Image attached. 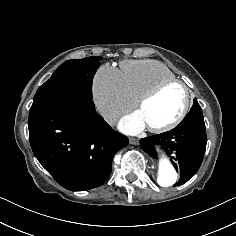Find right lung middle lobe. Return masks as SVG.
Masks as SVG:
<instances>
[{"label": "right lung middle lobe", "mask_w": 236, "mask_h": 236, "mask_svg": "<svg viewBox=\"0 0 236 236\" xmlns=\"http://www.w3.org/2000/svg\"><path fill=\"white\" fill-rule=\"evenodd\" d=\"M101 57L67 60L41 85L30 112L67 101L92 100V81Z\"/></svg>", "instance_id": "obj_1"}]
</instances>
